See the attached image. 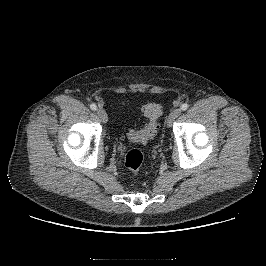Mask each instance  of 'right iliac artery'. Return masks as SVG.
Masks as SVG:
<instances>
[{"mask_svg":"<svg viewBox=\"0 0 266 266\" xmlns=\"http://www.w3.org/2000/svg\"><path fill=\"white\" fill-rule=\"evenodd\" d=\"M90 108L92 109V110H97V106H96V104H94V103H92L91 105H90Z\"/></svg>","mask_w":266,"mask_h":266,"instance_id":"right-iliac-artery-1","label":"right iliac artery"}]
</instances>
